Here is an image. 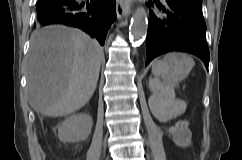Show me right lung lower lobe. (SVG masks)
I'll return each mask as SVG.
<instances>
[{"instance_id": "1", "label": "right lung lower lobe", "mask_w": 242, "mask_h": 160, "mask_svg": "<svg viewBox=\"0 0 242 160\" xmlns=\"http://www.w3.org/2000/svg\"><path fill=\"white\" fill-rule=\"evenodd\" d=\"M36 11L42 26L63 24L80 28L104 45L115 19V0H38Z\"/></svg>"}]
</instances>
